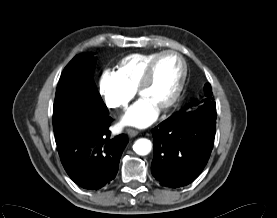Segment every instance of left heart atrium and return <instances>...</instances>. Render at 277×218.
<instances>
[{
	"mask_svg": "<svg viewBox=\"0 0 277 218\" xmlns=\"http://www.w3.org/2000/svg\"><path fill=\"white\" fill-rule=\"evenodd\" d=\"M159 108L147 97L141 96L122 116L121 123L135 127H146L153 123Z\"/></svg>",
	"mask_w": 277,
	"mask_h": 218,
	"instance_id": "39dd6f15",
	"label": "left heart atrium"
}]
</instances>
